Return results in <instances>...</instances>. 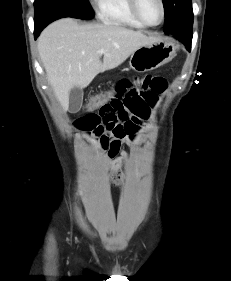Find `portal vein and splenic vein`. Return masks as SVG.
<instances>
[{
  "label": "portal vein and splenic vein",
  "mask_w": 231,
  "mask_h": 281,
  "mask_svg": "<svg viewBox=\"0 0 231 281\" xmlns=\"http://www.w3.org/2000/svg\"><path fill=\"white\" fill-rule=\"evenodd\" d=\"M99 53H100V54H103V53H104V50H103V49H100V50H99Z\"/></svg>",
  "instance_id": "1"
}]
</instances>
